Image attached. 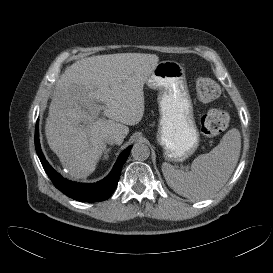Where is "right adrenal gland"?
<instances>
[{"mask_svg":"<svg viewBox=\"0 0 273 273\" xmlns=\"http://www.w3.org/2000/svg\"><path fill=\"white\" fill-rule=\"evenodd\" d=\"M110 150H111V148L106 149V151L104 153V156H103V160H107L108 159V157H109L108 154H109Z\"/></svg>","mask_w":273,"mask_h":273,"instance_id":"obj_1","label":"right adrenal gland"}]
</instances>
